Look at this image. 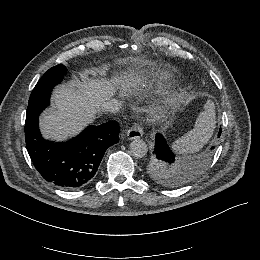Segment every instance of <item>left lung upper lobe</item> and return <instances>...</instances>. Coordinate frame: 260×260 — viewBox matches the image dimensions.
I'll return each instance as SVG.
<instances>
[{
	"label": "left lung upper lobe",
	"instance_id": "1",
	"mask_svg": "<svg viewBox=\"0 0 260 260\" xmlns=\"http://www.w3.org/2000/svg\"><path fill=\"white\" fill-rule=\"evenodd\" d=\"M202 164L185 165L176 159L167 161L156 156L155 151L148 154L144 164L146 176L158 185L176 188L194 179L201 171Z\"/></svg>",
	"mask_w": 260,
	"mask_h": 260
}]
</instances>
